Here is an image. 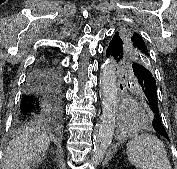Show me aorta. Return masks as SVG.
<instances>
[{"label": "aorta", "instance_id": "obj_1", "mask_svg": "<svg viewBox=\"0 0 177 169\" xmlns=\"http://www.w3.org/2000/svg\"><path fill=\"white\" fill-rule=\"evenodd\" d=\"M100 87L102 91V116L93 139L92 165H98L104 158L113 139L117 111V87L114 63L105 61L102 65Z\"/></svg>", "mask_w": 177, "mask_h": 169}]
</instances>
